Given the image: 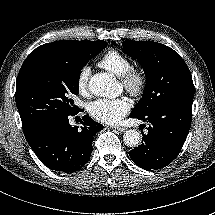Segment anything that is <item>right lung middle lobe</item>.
<instances>
[{
  "instance_id": "1",
  "label": "right lung middle lobe",
  "mask_w": 215,
  "mask_h": 215,
  "mask_svg": "<svg viewBox=\"0 0 215 215\" xmlns=\"http://www.w3.org/2000/svg\"><path fill=\"white\" fill-rule=\"evenodd\" d=\"M106 46L98 40L73 47L17 81L15 98L24 130L43 119L79 110L70 96L79 93L80 71Z\"/></svg>"
}]
</instances>
